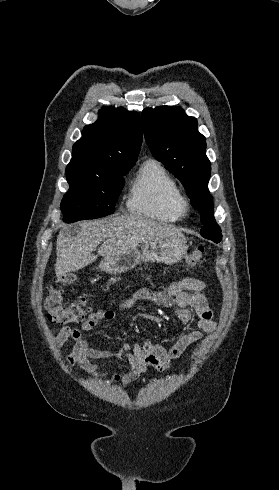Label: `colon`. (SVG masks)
Returning <instances> with one entry per match:
<instances>
[{"label":"colon","mask_w":279,"mask_h":490,"mask_svg":"<svg viewBox=\"0 0 279 490\" xmlns=\"http://www.w3.org/2000/svg\"><path fill=\"white\" fill-rule=\"evenodd\" d=\"M205 256V246L199 245L190 252L185 263L187 267H196L202 264ZM75 281L73 273H66L55 277L48 287L44 297V308L48 313V320L54 324L71 325L84 321L87 308L86 299L81 296L77 302L70 306L64 305L63 287Z\"/></svg>","instance_id":"colon-1"}]
</instances>
